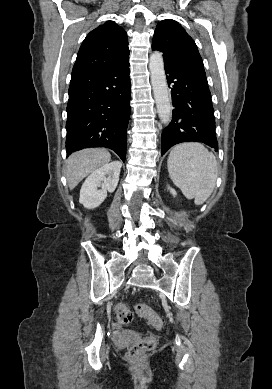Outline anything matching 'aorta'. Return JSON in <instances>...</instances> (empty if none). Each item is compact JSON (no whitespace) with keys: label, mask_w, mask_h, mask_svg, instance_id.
<instances>
[{"label":"aorta","mask_w":272,"mask_h":389,"mask_svg":"<svg viewBox=\"0 0 272 389\" xmlns=\"http://www.w3.org/2000/svg\"><path fill=\"white\" fill-rule=\"evenodd\" d=\"M149 70L159 118L163 124H168L172 118V105L161 52L155 51L150 56Z\"/></svg>","instance_id":"aorta-1"}]
</instances>
